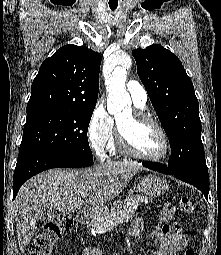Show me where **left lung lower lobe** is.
I'll return each instance as SVG.
<instances>
[{
    "mask_svg": "<svg viewBox=\"0 0 221 255\" xmlns=\"http://www.w3.org/2000/svg\"><path fill=\"white\" fill-rule=\"evenodd\" d=\"M143 166L167 175H174L176 178L197 187L208 200L209 184H208V168L206 165L193 168L172 171L168 166L161 163H143Z\"/></svg>",
    "mask_w": 221,
    "mask_h": 255,
    "instance_id": "0a47b994",
    "label": "left lung lower lobe"
}]
</instances>
